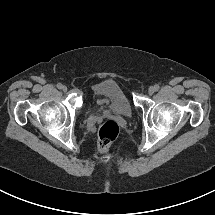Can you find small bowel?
Masks as SVG:
<instances>
[{
    "mask_svg": "<svg viewBox=\"0 0 215 215\" xmlns=\"http://www.w3.org/2000/svg\"><path fill=\"white\" fill-rule=\"evenodd\" d=\"M98 103L104 106L107 105V102L105 100H100ZM95 122H96V119L94 117L89 118V124L91 127L95 124Z\"/></svg>",
    "mask_w": 215,
    "mask_h": 215,
    "instance_id": "small-bowel-1",
    "label": "small bowel"
}]
</instances>
